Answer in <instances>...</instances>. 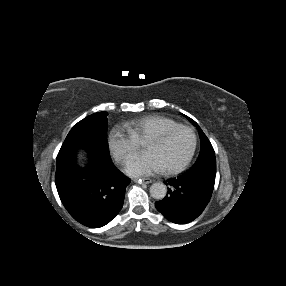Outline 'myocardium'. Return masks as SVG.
<instances>
[{
  "label": "myocardium",
  "mask_w": 286,
  "mask_h": 286,
  "mask_svg": "<svg viewBox=\"0 0 286 286\" xmlns=\"http://www.w3.org/2000/svg\"><path fill=\"white\" fill-rule=\"evenodd\" d=\"M182 130H187V131H190L192 133L193 138H194L192 149L189 152L188 156L181 163H179L177 165L170 166V167L162 168L163 172H165V173L179 172V171L183 170L184 168H186L188 166V164L191 162V160L193 159V157L195 155L197 145H198V135L196 133V130L190 126L180 125V126L175 127V128L166 129V130H163L161 132H158V133H156V134H154V135H152L146 139L147 142H150V141L161 142V141L169 138L170 136H172L175 133L182 131Z\"/></svg>",
  "instance_id": "obj_1"
}]
</instances>
